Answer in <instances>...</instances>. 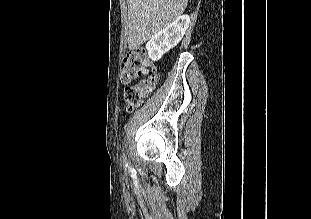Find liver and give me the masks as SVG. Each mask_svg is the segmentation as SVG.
<instances>
[{
  "mask_svg": "<svg viewBox=\"0 0 311 219\" xmlns=\"http://www.w3.org/2000/svg\"><path fill=\"white\" fill-rule=\"evenodd\" d=\"M188 0H128V48H138L179 18Z\"/></svg>",
  "mask_w": 311,
  "mask_h": 219,
  "instance_id": "liver-1",
  "label": "liver"
}]
</instances>
